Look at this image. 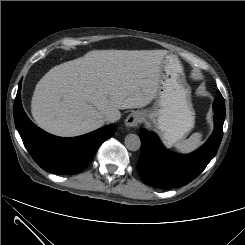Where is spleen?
Here are the masks:
<instances>
[{
  "instance_id": "obj_1",
  "label": "spleen",
  "mask_w": 245,
  "mask_h": 245,
  "mask_svg": "<svg viewBox=\"0 0 245 245\" xmlns=\"http://www.w3.org/2000/svg\"><path fill=\"white\" fill-rule=\"evenodd\" d=\"M201 144H202V134L200 132H196L192 134L188 139L176 143L174 147L178 152L187 154L198 149Z\"/></svg>"
}]
</instances>
